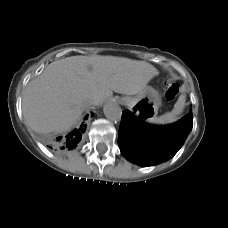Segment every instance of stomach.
<instances>
[{
	"instance_id": "1",
	"label": "stomach",
	"mask_w": 228,
	"mask_h": 228,
	"mask_svg": "<svg viewBox=\"0 0 228 228\" xmlns=\"http://www.w3.org/2000/svg\"><path fill=\"white\" fill-rule=\"evenodd\" d=\"M123 101L133 105L139 104L137 114L147 118L149 121L155 118L161 105V97L158 91L151 86H146L137 97L124 99Z\"/></svg>"
}]
</instances>
